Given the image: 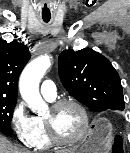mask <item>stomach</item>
<instances>
[{
  "mask_svg": "<svg viewBox=\"0 0 130 153\" xmlns=\"http://www.w3.org/2000/svg\"><path fill=\"white\" fill-rule=\"evenodd\" d=\"M112 141V127L105 121L93 126L83 142L72 153H106Z\"/></svg>",
  "mask_w": 130,
  "mask_h": 153,
  "instance_id": "0dacf381",
  "label": "stomach"
}]
</instances>
